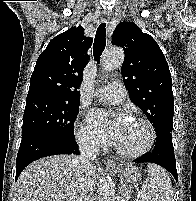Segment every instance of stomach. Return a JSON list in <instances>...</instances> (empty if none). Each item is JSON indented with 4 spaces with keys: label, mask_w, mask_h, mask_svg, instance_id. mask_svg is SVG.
Listing matches in <instances>:
<instances>
[{
    "label": "stomach",
    "mask_w": 196,
    "mask_h": 201,
    "mask_svg": "<svg viewBox=\"0 0 196 201\" xmlns=\"http://www.w3.org/2000/svg\"><path fill=\"white\" fill-rule=\"evenodd\" d=\"M113 170L119 176L122 184L134 183L141 177L138 169L132 165L115 166Z\"/></svg>",
    "instance_id": "stomach-1"
}]
</instances>
